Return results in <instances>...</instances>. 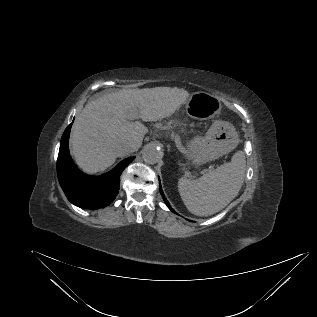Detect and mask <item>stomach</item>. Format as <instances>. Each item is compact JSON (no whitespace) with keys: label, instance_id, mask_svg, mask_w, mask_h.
Instances as JSON below:
<instances>
[{"label":"stomach","instance_id":"stomach-1","mask_svg":"<svg viewBox=\"0 0 317 317\" xmlns=\"http://www.w3.org/2000/svg\"><path fill=\"white\" fill-rule=\"evenodd\" d=\"M190 103L202 104L206 108V119L214 118L221 110L218 98L206 92L192 94ZM238 143L235 127L228 122L215 120L205 136H196L187 143L186 153L194 165H201L231 152Z\"/></svg>","mask_w":317,"mask_h":317}]
</instances>
